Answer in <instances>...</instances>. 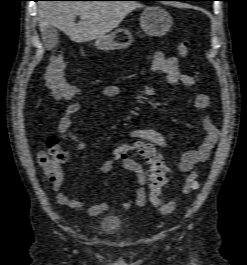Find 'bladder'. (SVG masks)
Instances as JSON below:
<instances>
[{
    "mask_svg": "<svg viewBox=\"0 0 247 265\" xmlns=\"http://www.w3.org/2000/svg\"><path fill=\"white\" fill-rule=\"evenodd\" d=\"M122 225L123 220L121 217L117 215L108 214L101 219L99 228L105 233H113L120 229Z\"/></svg>",
    "mask_w": 247,
    "mask_h": 265,
    "instance_id": "obj_1",
    "label": "bladder"
}]
</instances>
